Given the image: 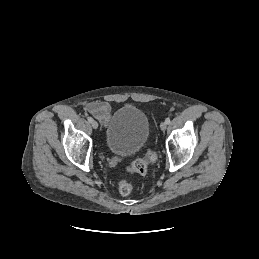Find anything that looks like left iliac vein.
I'll list each match as a JSON object with an SVG mask.
<instances>
[{
  "label": "left iliac vein",
  "mask_w": 259,
  "mask_h": 259,
  "mask_svg": "<svg viewBox=\"0 0 259 259\" xmlns=\"http://www.w3.org/2000/svg\"><path fill=\"white\" fill-rule=\"evenodd\" d=\"M166 128H167V123H166V122H162V123L160 124V129H161L162 131H165Z\"/></svg>",
  "instance_id": "left-iliac-vein-1"
}]
</instances>
